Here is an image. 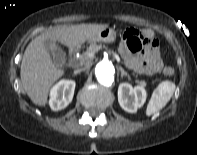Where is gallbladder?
<instances>
[{
	"instance_id": "obj_1",
	"label": "gallbladder",
	"mask_w": 197,
	"mask_h": 155,
	"mask_svg": "<svg viewBox=\"0 0 197 155\" xmlns=\"http://www.w3.org/2000/svg\"><path fill=\"white\" fill-rule=\"evenodd\" d=\"M45 46L52 55L54 63L57 66H63L66 61V53L55 42L47 41Z\"/></svg>"
}]
</instances>
